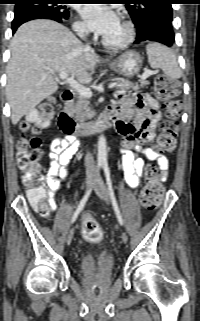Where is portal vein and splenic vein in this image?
Returning <instances> with one entry per match:
<instances>
[{"label":"portal vein and splenic vein","mask_w":200,"mask_h":321,"mask_svg":"<svg viewBox=\"0 0 200 321\" xmlns=\"http://www.w3.org/2000/svg\"><path fill=\"white\" fill-rule=\"evenodd\" d=\"M155 73V71L152 70H145V72L142 74L141 79L145 80L147 77L153 75ZM58 77L61 80H64L67 84L70 85V87H72L75 91H77L81 96L87 97V98H91L92 97V91L90 90V88H87L83 85H81L79 82H77L74 78L70 77L68 75V73L66 72H62L58 74ZM117 86V83H111L109 84L108 88H114Z\"/></svg>","instance_id":"18ae733b"}]
</instances>
